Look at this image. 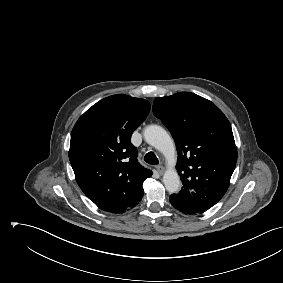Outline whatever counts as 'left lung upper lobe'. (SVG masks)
<instances>
[{
	"mask_svg": "<svg viewBox=\"0 0 283 283\" xmlns=\"http://www.w3.org/2000/svg\"><path fill=\"white\" fill-rule=\"evenodd\" d=\"M153 113L176 143L183 187L175 195L207 211L226 193L237 162L228 119L211 101L190 92L156 98Z\"/></svg>",
	"mask_w": 283,
	"mask_h": 283,
	"instance_id": "5c2ea615",
	"label": "left lung upper lobe"
}]
</instances>
